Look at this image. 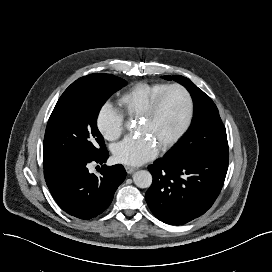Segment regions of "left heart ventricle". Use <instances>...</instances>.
<instances>
[{
  "label": "left heart ventricle",
  "instance_id": "left-heart-ventricle-1",
  "mask_svg": "<svg viewBox=\"0 0 272 272\" xmlns=\"http://www.w3.org/2000/svg\"><path fill=\"white\" fill-rule=\"evenodd\" d=\"M185 115L184 95L178 90H172L164 98L156 115L142 120L140 134L149 136L160 147L180 128Z\"/></svg>",
  "mask_w": 272,
  "mask_h": 272
}]
</instances>
